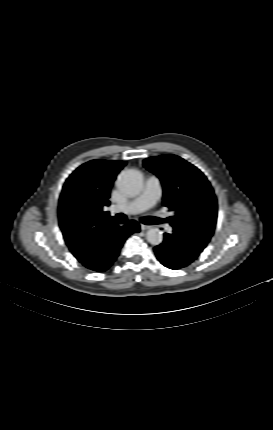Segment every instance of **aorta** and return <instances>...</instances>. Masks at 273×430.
<instances>
[{"mask_svg": "<svg viewBox=\"0 0 273 430\" xmlns=\"http://www.w3.org/2000/svg\"><path fill=\"white\" fill-rule=\"evenodd\" d=\"M118 189L128 195H137L143 185L142 173L136 169H126L123 170L116 181ZM147 241L152 245H159L163 241L162 231L158 228H151L146 234Z\"/></svg>", "mask_w": 273, "mask_h": 430, "instance_id": "aorta-1", "label": "aorta"}]
</instances>
